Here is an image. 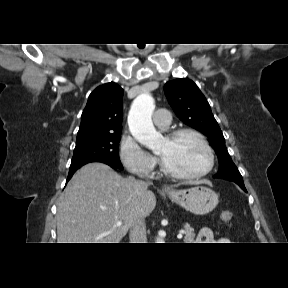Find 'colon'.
<instances>
[{
    "instance_id": "5ec220e1",
    "label": "colon",
    "mask_w": 288,
    "mask_h": 288,
    "mask_svg": "<svg viewBox=\"0 0 288 288\" xmlns=\"http://www.w3.org/2000/svg\"><path fill=\"white\" fill-rule=\"evenodd\" d=\"M219 218L221 222L230 225L233 219V213L230 210H222L219 214Z\"/></svg>"
}]
</instances>
